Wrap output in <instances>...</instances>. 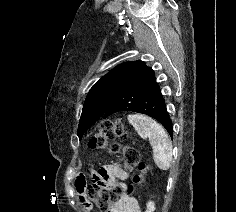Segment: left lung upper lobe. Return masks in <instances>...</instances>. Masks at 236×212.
<instances>
[{"mask_svg":"<svg viewBox=\"0 0 236 212\" xmlns=\"http://www.w3.org/2000/svg\"><path fill=\"white\" fill-rule=\"evenodd\" d=\"M140 63L141 60L122 63L93 85L85 99L79 121V138L104 114Z\"/></svg>","mask_w":236,"mask_h":212,"instance_id":"obj_1","label":"left lung upper lobe"}]
</instances>
